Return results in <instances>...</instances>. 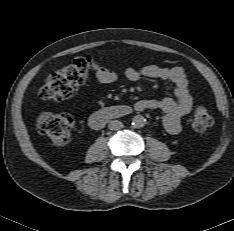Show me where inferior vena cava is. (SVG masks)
<instances>
[{
    "label": "inferior vena cava",
    "mask_w": 234,
    "mask_h": 231,
    "mask_svg": "<svg viewBox=\"0 0 234 231\" xmlns=\"http://www.w3.org/2000/svg\"><path fill=\"white\" fill-rule=\"evenodd\" d=\"M110 130H120L123 128V123L119 120L110 121L108 125Z\"/></svg>",
    "instance_id": "602c4592"
}]
</instances>
